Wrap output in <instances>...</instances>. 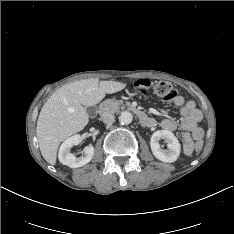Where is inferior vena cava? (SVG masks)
I'll return each instance as SVG.
<instances>
[{"instance_id": "obj_1", "label": "inferior vena cava", "mask_w": 234, "mask_h": 234, "mask_svg": "<svg viewBox=\"0 0 234 234\" xmlns=\"http://www.w3.org/2000/svg\"><path fill=\"white\" fill-rule=\"evenodd\" d=\"M100 120L105 124H112L115 120V116L112 112H104L101 114Z\"/></svg>"}]
</instances>
